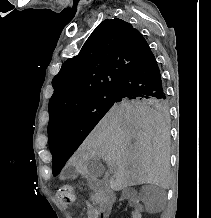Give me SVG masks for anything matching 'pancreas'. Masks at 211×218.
<instances>
[{
  "instance_id": "pancreas-1",
  "label": "pancreas",
  "mask_w": 211,
  "mask_h": 218,
  "mask_svg": "<svg viewBox=\"0 0 211 218\" xmlns=\"http://www.w3.org/2000/svg\"><path fill=\"white\" fill-rule=\"evenodd\" d=\"M99 194H100V195H103V194H104V191H103V190H100V191H99ZM99 204H100V205H107V204H108V201H107V200H100V201H99Z\"/></svg>"
}]
</instances>
